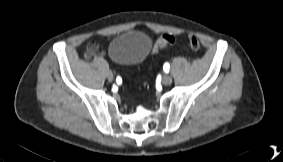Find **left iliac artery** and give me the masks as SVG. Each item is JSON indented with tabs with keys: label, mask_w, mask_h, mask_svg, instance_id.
<instances>
[{
	"label": "left iliac artery",
	"mask_w": 283,
	"mask_h": 162,
	"mask_svg": "<svg viewBox=\"0 0 283 162\" xmlns=\"http://www.w3.org/2000/svg\"><path fill=\"white\" fill-rule=\"evenodd\" d=\"M169 68H170L169 63H165L164 66H163V69H164V71H165L166 73L169 72Z\"/></svg>",
	"instance_id": "obj_1"
}]
</instances>
